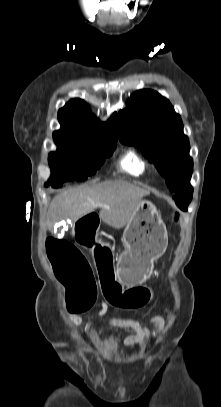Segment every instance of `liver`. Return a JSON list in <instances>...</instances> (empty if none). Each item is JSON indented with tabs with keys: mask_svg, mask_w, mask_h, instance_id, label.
<instances>
[{
	"mask_svg": "<svg viewBox=\"0 0 221 407\" xmlns=\"http://www.w3.org/2000/svg\"><path fill=\"white\" fill-rule=\"evenodd\" d=\"M148 194V191L120 180L65 190L50 203V224L60 219L76 222L101 203L99 217L109 226L120 229L131 221L141 199Z\"/></svg>",
	"mask_w": 221,
	"mask_h": 407,
	"instance_id": "1",
	"label": "liver"
}]
</instances>
